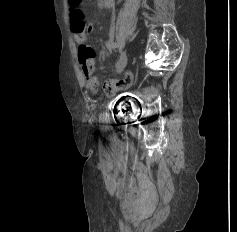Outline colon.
I'll list each match as a JSON object with an SVG mask.
<instances>
[{"label": "colon", "instance_id": "1", "mask_svg": "<svg viewBox=\"0 0 237 232\" xmlns=\"http://www.w3.org/2000/svg\"><path fill=\"white\" fill-rule=\"evenodd\" d=\"M71 28L75 33H88L91 30L83 15L82 0H69Z\"/></svg>", "mask_w": 237, "mask_h": 232}]
</instances>
